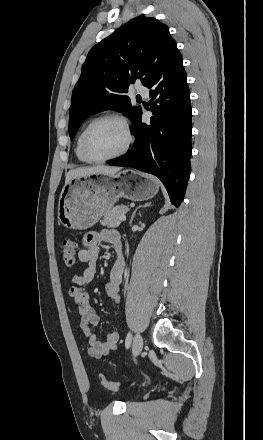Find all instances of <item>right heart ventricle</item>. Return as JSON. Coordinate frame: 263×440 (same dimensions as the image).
Wrapping results in <instances>:
<instances>
[{
	"label": "right heart ventricle",
	"instance_id": "obj_1",
	"mask_svg": "<svg viewBox=\"0 0 263 440\" xmlns=\"http://www.w3.org/2000/svg\"><path fill=\"white\" fill-rule=\"evenodd\" d=\"M91 121H92V120L88 121V122H87V123L81 128V130L79 131V133H78V135H77V137H76V141H75V148H74L75 155H76V158L78 159V161L81 162V163H89V161L86 160L85 157H84L83 154H82V151H81V140H82V136H83V134H84V132H85L87 126L90 124Z\"/></svg>",
	"mask_w": 263,
	"mask_h": 440
}]
</instances>
